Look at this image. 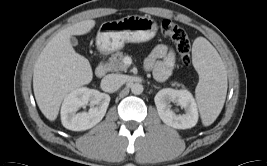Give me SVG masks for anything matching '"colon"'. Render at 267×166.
Listing matches in <instances>:
<instances>
[{
	"label": "colon",
	"mask_w": 267,
	"mask_h": 166,
	"mask_svg": "<svg viewBox=\"0 0 267 166\" xmlns=\"http://www.w3.org/2000/svg\"><path fill=\"white\" fill-rule=\"evenodd\" d=\"M160 32L174 41L182 62L188 65L190 63L191 43L186 31L170 19H162Z\"/></svg>",
	"instance_id": "5ec220e1"
}]
</instances>
